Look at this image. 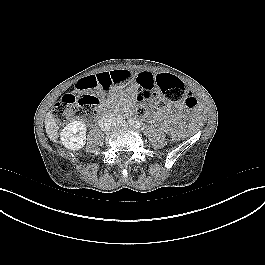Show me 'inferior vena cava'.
<instances>
[{
  "label": "inferior vena cava",
  "instance_id": "obj_1",
  "mask_svg": "<svg viewBox=\"0 0 265 265\" xmlns=\"http://www.w3.org/2000/svg\"><path fill=\"white\" fill-rule=\"evenodd\" d=\"M99 125L103 131L108 132L116 126L115 117L113 115L106 114L100 119Z\"/></svg>",
  "mask_w": 265,
  "mask_h": 265
}]
</instances>
